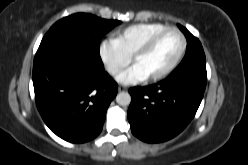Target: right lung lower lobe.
<instances>
[{
	"mask_svg": "<svg viewBox=\"0 0 248 165\" xmlns=\"http://www.w3.org/2000/svg\"><path fill=\"white\" fill-rule=\"evenodd\" d=\"M38 110L46 125L72 143L94 139L117 94V83L84 46L62 42L38 49L33 64Z\"/></svg>",
	"mask_w": 248,
	"mask_h": 165,
	"instance_id": "obj_1",
	"label": "right lung lower lobe"
}]
</instances>
